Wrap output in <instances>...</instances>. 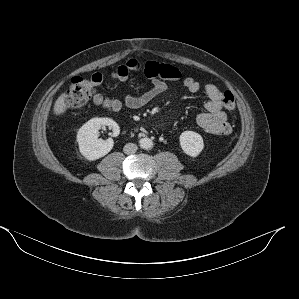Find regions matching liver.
<instances>
[{
    "mask_svg": "<svg viewBox=\"0 0 299 299\" xmlns=\"http://www.w3.org/2000/svg\"><path fill=\"white\" fill-rule=\"evenodd\" d=\"M67 99V94L62 93L54 103L53 112L55 115L64 114L67 110V103L65 102Z\"/></svg>",
    "mask_w": 299,
    "mask_h": 299,
    "instance_id": "1",
    "label": "liver"
}]
</instances>
